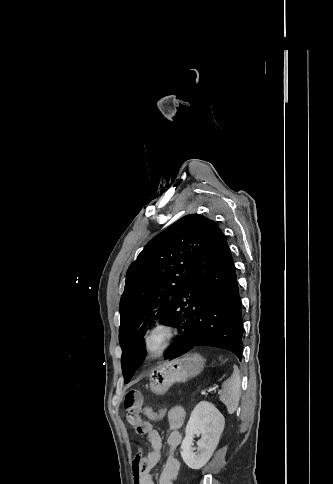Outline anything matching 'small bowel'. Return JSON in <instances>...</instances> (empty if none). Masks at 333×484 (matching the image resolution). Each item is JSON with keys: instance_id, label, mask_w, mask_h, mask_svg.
<instances>
[{"instance_id": "small-bowel-1", "label": "small bowel", "mask_w": 333, "mask_h": 484, "mask_svg": "<svg viewBox=\"0 0 333 484\" xmlns=\"http://www.w3.org/2000/svg\"><path fill=\"white\" fill-rule=\"evenodd\" d=\"M123 406L129 423L135 427L139 434L146 436L150 448L146 456L138 455L133 461L135 484H156L152 470L161 457V436L149 421L142 418L145 406L143 396L139 391H128L124 396ZM166 418L171 430L166 441L170 453L160 474L158 484H173L178 476L180 463L175 456V452L182 442L180 429L185 423L186 411L182 406H173L167 411Z\"/></svg>"}]
</instances>
